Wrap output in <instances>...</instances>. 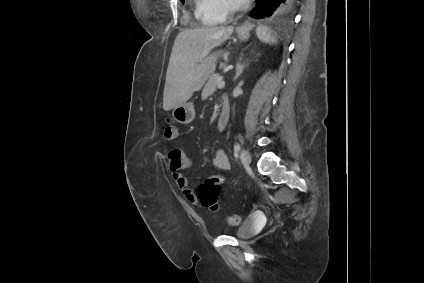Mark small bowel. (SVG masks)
<instances>
[{"mask_svg": "<svg viewBox=\"0 0 424 283\" xmlns=\"http://www.w3.org/2000/svg\"><path fill=\"white\" fill-rule=\"evenodd\" d=\"M187 161H188V164L186 166H184L183 168H181L179 170H171L172 171V177H173L175 183L177 184V186L179 187V189L182 191L186 200L189 201L192 204H197L198 198H197L196 193L191 188L187 177L180 172L182 169H186V168L189 167L190 160H189L188 157H187ZM213 165H214V167H216L220 170H223V171H227V170L230 169L231 165H230L229 158H228L226 152L223 149H217L216 150L214 158H213Z\"/></svg>", "mask_w": 424, "mask_h": 283, "instance_id": "obj_1", "label": "small bowel"}]
</instances>
